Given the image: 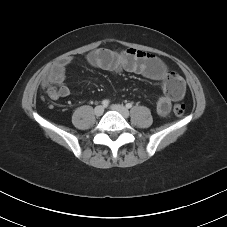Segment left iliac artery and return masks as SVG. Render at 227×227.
<instances>
[{"label":"left iliac artery","instance_id":"left-iliac-artery-1","mask_svg":"<svg viewBox=\"0 0 227 227\" xmlns=\"http://www.w3.org/2000/svg\"><path fill=\"white\" fill-rule=\"evenodd\" d=\"M126 107H127L128 109L131 108V107H132V103L126 104Z\"/></svg>","mask_w":227,"mask_h":227}]
</instances>
